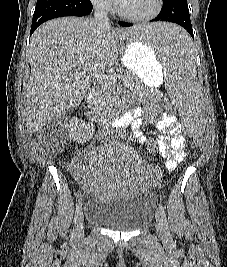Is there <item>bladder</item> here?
Segmentation results:
<instances>
[{"label":"bladder","instance_id":"bladder-1","mask_svg":"<svg viewBox=\"0 0 227 267\" xmlns=\"http://www.w3.org/2000/svg\"><path fill=\"white\" fill-rule=\"evenodd\" d=\"M154 213V198L150 192H142L117 199L89 198L85 219L101 228L130 232L148 222Z\"/></svg>","mask_w":227,"mask_h":267}]
</instances>
